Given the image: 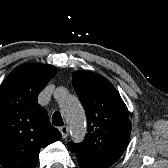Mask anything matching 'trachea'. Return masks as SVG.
Segmentation results:
<instances>
[{"instance_id": "1", "label": "trachea", "mask_w": 168, "mask_h": 168, "mask_svg": "<svg viewBox=\"0 0 168 168\" xmlns=\"http://www.w3.org/2000/svg\"><path fill=\"white\" fill-rule=\"evenodd\" d=\"M52 124L54 126H63L64 122L62 120L60 112H55L52 116Z\"/></svg>"}]
</instances>
